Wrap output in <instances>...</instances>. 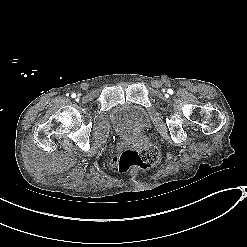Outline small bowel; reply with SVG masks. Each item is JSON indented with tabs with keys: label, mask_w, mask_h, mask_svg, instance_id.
I'll return each instance as SVG.
<instances>
[{
	"label": "small bowel",
	"mask_w": 247,
	"mask_h": 247,
	"mask_svg": "<svg viewBox=\"0 0 247 247\" xmlns=\"http://www.w3.org/2000/svg\"><path fill=\"white\" fill-rule=\"evenodd\" d=\"M110 161H111V163H112V164H110V166H109L110 171H112V172L117 171L118 166H117L116 163H118V161H119L118 156H116V155L111 156Z\"/></svg>",
	"instance_id": "c3829d8e"
}]
</instances>
